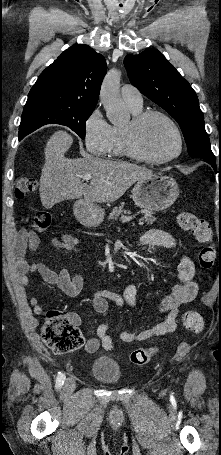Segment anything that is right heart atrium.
Listing matches in <instances>:
<instances>
[{"mask_svg":"<svg viewBox=\"0 0 221 455\" xmlns=\"http://www.w3.org/2000/svg\"><path fill=\"white\" fill-rule=\"evenodd\" d=\"M111 134L112 126L101 111L95 109L84 122L83 138L87 151L98 156L108 153Z\"/></svg>","mask_w":221,"mask_h":455,"instance_id":"1","label":"right heart atrium"}]
</instances>
